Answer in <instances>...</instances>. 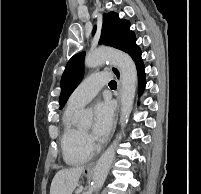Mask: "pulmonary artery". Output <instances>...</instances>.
<instances>
[{"instance_id":"e3ab8cb5","label":"pulmonary artery","mask_w":201,"mask_h":194,"mask_svg":"<svg viewBox=\"0 0 201 194\" xmlns=\"http://www.w3.org/2000/svg\"><path fill=\"white\" fill-rule=\"evenodd\" d=\"M110 78L111 74L108 72H99L88 76L70 95L68 105L75 108L84 106L98 94Z\"/></svg>"}]
</instances>
